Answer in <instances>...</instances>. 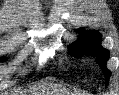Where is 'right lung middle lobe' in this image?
Here are the masks:
<instances>
[{
  "label": "right lung middle lobe",
  "mask_w": 119,
  "mask_h": 95,
  "mask_svg": "<svg viewBox=\"0 0 119 95\" xmlns=\"http://www.w3.org/2000/svg\"><path fill=\"white\" fill-rule=\"evenodd\" d=\"M4 60H5L4 58L1 59V61H4Z\"/></svg>",
  "instance_id": "obj_1"
}]
</instances>
